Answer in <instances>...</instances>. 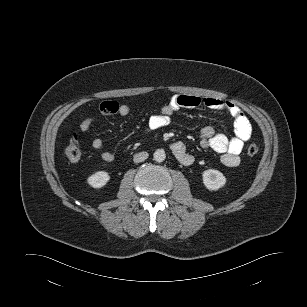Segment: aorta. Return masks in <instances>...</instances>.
Instances as JSON below:
<instances>
[{
  "label": "aorta",
  "mask_w": 307,
  "mask_h": 307,
  "mask_svg": "<svg viewBox=\"0 0 307 307\" xmlns=\"http://www.w3.org/2000/svg\"><path fill=\"white\" fill-rule=\"evenodd\" d=\"M153 158L156 162H163L166 158L165 151L163 149H157L153 154Z\"/></svg>",
  "instance_id": "1"
}]
</instances>
